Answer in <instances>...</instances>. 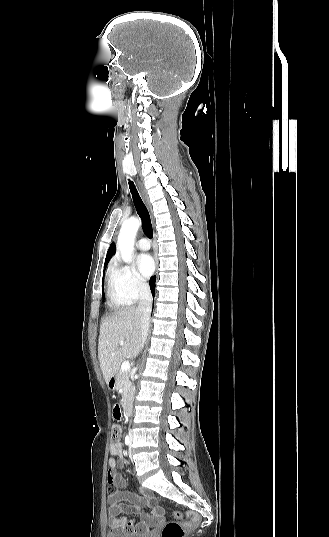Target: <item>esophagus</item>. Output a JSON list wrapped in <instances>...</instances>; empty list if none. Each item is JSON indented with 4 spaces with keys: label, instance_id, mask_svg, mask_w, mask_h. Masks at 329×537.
<instances>
[{
    "label": "esophagus",
    "instance_id": "34e87169",
    "mask_svg": "<svg viewBox=\"0 0 329 537\" xmlns=\"http://www.w3.org/2000/svg\"><path fill=\"white\" fill-rule=\"evenodd\" d=\"M139 189H140V194H141V197L147 207V209L149 210V213L151 215V220H152V223H154V219H153V216H152V206H151V202L149 200V197H148V194H147V191L145 190L143 184L141 182H139ZM155 265L157 267L158 265V260L157 258H155Z\"/></svg>",
    "mask_w": 329,
    "mask_h": 537
}]
</instances>
